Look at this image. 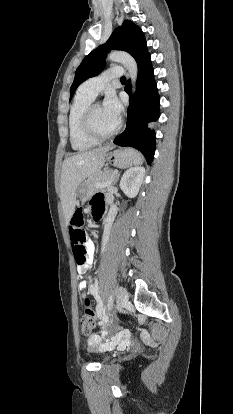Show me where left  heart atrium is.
<instances>
[{"label":"left heart atrium","mask_w":233,"mask_h":414,"mask_svg":"<svg viewBox=\"0 0 233 414\" xmlns=\"http://www.w3.org/2000/svg\"><path fill=\"white\" fill-rule=\"evenodd\" d=\"M103 109L104 111L113 119L119 120L122 106L118 100V98L114 94H109L103 103Z\"/></svg>","instance_id":"39dd6f15"}]
</instances>
